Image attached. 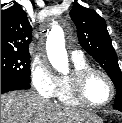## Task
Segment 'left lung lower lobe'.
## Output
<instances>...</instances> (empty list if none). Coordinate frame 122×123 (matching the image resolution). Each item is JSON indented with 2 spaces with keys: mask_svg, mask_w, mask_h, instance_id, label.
I'll use <instances>...</instances> for the list:
<instances>
[{
  "mask_svg": "<svg viewBox=\"0 0 122 123\" xmlns=\"http://www.w3.org/2000/svg\"><path fill=\"white\" fill-rule=\"evenodd\" d=\"M116 109L122 112V108H116Z\"/></svg>",
  "mask_w": 122,
  "mask_h": 123,
  "instance_id": "1",
  "label": "left lung lower lobe"
}]
</instances>
